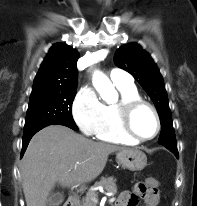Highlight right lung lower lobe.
Wrapping results in <instances>:
<instances>
[{
    "label": "right lung lower lobe",
    "mask_w": 197,
    "mask_h": 206,
    "mask_svg": "<svg viewBox=\"0 0 197 206\" xmlns=\"http://www.w3.org/2000/svg\"><path fill=\"white\" fill-rule=\"evenodd\" d=\"M44 128V127H43ZM42 129V128H41ZM41 129H38V130H35L33 132H30L26 135H23V142H22V151H21V157L23 156L28 144H29V141L31 140V138L34 136V134H36L39 130Z\"/></svg>",
    "instance_id": "right-lung-lower-lobe-1"
}]
</instances>
